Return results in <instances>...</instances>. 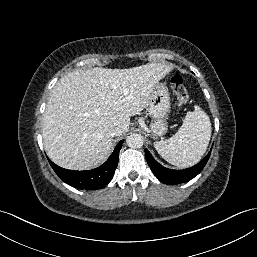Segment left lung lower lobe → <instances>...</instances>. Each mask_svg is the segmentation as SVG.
I'll return each instance as SVG.
<instances>
[{
    "label": "left lung lower lobe",
    "mask_w": 257,
    "mask_h": 257,
    "mask_svg": "<svg viewBox=\"0 0 257 257\" xmlns=\"http://www.w3.org/2000/svg\"><path fill=\"white\" fill-rule=\"evenodd\" d=\"M212 150V149H211ZM145 155L147 159V163L157 177L159 181L168 185L180 184L187 182L197 176L204 166L206 165L210 153H208L198 164L191 168L183 169V170H172L163 167L160 165L150 154V152L145 149Z\"/></svg>",
    "instance_id": "1"
}]
</instances>
